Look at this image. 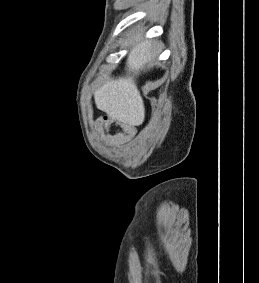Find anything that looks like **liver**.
Returning <instances> with one entry per match:
<instances>
[{
    "label": "liver",
    "mask_w": 259,
    "mask_h": 283,
    "mask_svg": "<svg viewBox=\"0 0 259 283\" xmlns=\"http://www.w3.org/2000/svg\"><path fill=\"white\" fill-rule=\"evenodd\" d=\"M134 39L126 63L127 75L117 80L107 81L94 93L97 108L109 117L124 124L139 126L145 118L143 99L135 83L141 71L154 65L157 54L152 51V41L139 42Z\"/></svg>",
    "instance_id": "1"
}]
</instances>
